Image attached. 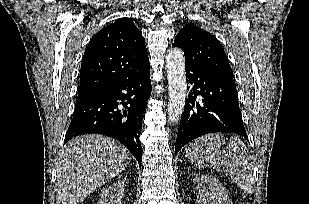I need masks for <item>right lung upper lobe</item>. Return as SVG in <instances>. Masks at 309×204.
<instances>
[{
	"instance_id": "right-lung-upper-lobe-1",
	"label": "right lung upper lobe",
	"mask_w": 309,
	"mask_h": 204,
	"mask_svg": "<svg viewBox=\"0 0 309 204\" xmlns=\"http://www.w3.org/2000/svg\"><path fill=\"white\" fill-rule=\"evenodd\" d=\"M148 68L141 32L131 19H118L90 40L82 60L78 98L138 76Z\"/></svg>"
}]
</instances>
